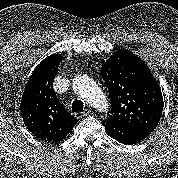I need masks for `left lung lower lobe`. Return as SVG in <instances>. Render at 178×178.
<instances>
[{
  "label": "left lung lower lobe",
  "mask_w": 178,
  "mask_h": 178,
  "mask_svg": "<svg viewBox=\"0 0 178 178\" xmlns=\"http://www.w3.org/2000/svg\"><path fill=\"white\" fill-rule=\"evenodd\" d=\"M106 133L118 142L132 145L145 139L152 133V129L135 126L125 123L115 122L109 119L103 121Z\"/></svg>",
  "instance_id": "1"
}]
</instances>
